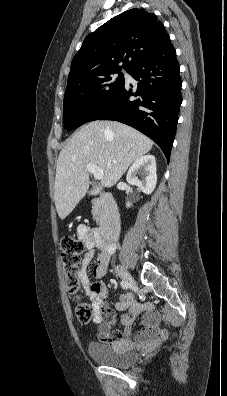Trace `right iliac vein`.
I'll list each match as a JSON object with an SVG mask.
<instances>
[{
    "mask_svg": "<svg viewBox=\"0 0 227 396\" xmlns=\"http://www.w3.org/2000/svg\"><path fill=\"white\" fill-rule=\"evenodd\" d=\"M117 273L122 278V280L125 281L126 283H128L130 286H133V287L136 286L134 279L128 273L126 268H124L123 266L117 267Z\"/></svg>",
    "mask_w": 227,
    "mask_h": 396,
    "instance_id": "right-iliac-vein-1",
    "label": "right iliac vein"
}]
</instances>
